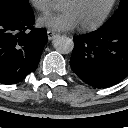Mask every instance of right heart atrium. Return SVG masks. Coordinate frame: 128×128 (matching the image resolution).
<instances>
[{
  "label": "right heart atrium",
  "mask_w": 128,
  "mask_h": 128,
  "mask_svg": "<svg viewBox=\"0 0 128 128\" xmlns=\"http://www.w3.org/2000/svg\"><path fill=\"white\" fill-rule=\"evenodd\" d=\"M30 4L39 12H49L52 7L54 0H29Z\"/></svg>",
  "instance_id": "d8ad5b80"
}]
</instances>
